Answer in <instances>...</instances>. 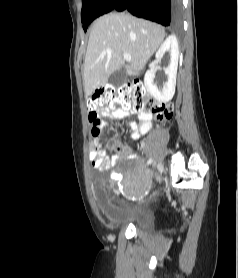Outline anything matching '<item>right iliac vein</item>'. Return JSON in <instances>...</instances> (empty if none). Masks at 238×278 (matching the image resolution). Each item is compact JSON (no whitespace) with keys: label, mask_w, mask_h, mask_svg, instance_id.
<instances>
[{"label":"right iliac vein","mask_w":238,"mask_h":278,"mask_svg":"<svg viewBox=\"0 0 238 278\" xmlns=\"http://www.w3.org/2000/svg\"><path fill=\"white\" fill-rule=\"evenodd\" d=\"M165 169V166H162V163H159L158 164V171H159V174H162V171H164Z\"/></svg>","instance_id":"obj_1"}]
</instances>
